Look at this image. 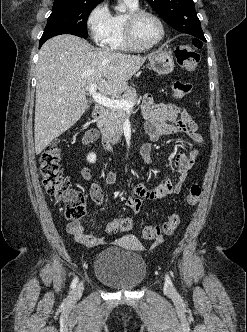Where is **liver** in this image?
I'll list each match as a JSON object with an SVG mask.
<instances>
[{"instance_id":"6515ba94","label":"liver","mask_w":247,"mask_h":332,"mask_svg":"<svg viewBox=\"0 0 247 332\" xmlns=\"http://www.w3.org/2000/svg\"><path fill=\"white\" fill-rule=\"evenodd\" d=\"M146 57L94 49L75 35H59L39 51L35 103V152L72 127L89 109L85 94L92 84L119 97Z\"/></svg>"}]
</instances>
